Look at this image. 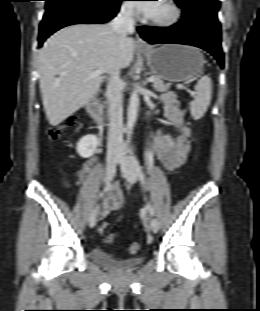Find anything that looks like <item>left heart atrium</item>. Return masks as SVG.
Segmentation results:
<instances>
[{"label": "left heart atrium", "instance_id": "left-heart-atrium-1", "mask_svg": "<svg viewBox=\"0 0 260 311\" xmlns=\"http://www.w3.org/2000/svg\"><path fill=\"white\" fill-rule=\"evenodd\" d=\"M148 2H157V1H144L136 4L137 9L146 16L152 15L157 6L156 3H148Z\"/></svg>", "mask_w": 260, "mask_h": 311}]
</instances>
